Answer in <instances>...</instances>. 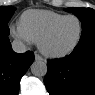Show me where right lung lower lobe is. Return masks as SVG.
<instances>
[{
  "label": "right lung lower lobe",
  "mask_w": 95,
  "mask_h": 95,
  "mask_svg": "<svg viewBox=\"0 0 95 95\" xmlns=\"http://www.w3.org/2000/svg\"><path fill=\"white\" fill-rule=\"evenodd\" d=\"M8 34L0 32V95H17L21 77L34 61L32 52L15 53Z\"/></svg>",
  "instance_id": "obj_1"
}]
</instances>
